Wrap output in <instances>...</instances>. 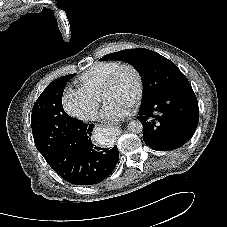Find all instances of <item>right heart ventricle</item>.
<instances>
[{
  "instance_id": "1",
  "label": "right heart ventricle",
  "mask_w": 227,
  "mask_h": 227,
  "mask_svg": "<svg viewBox=\"0 0 227 227\" xmlns=\"http://www.w3.org/2000/svg\"><path fill=\"white\" fill-rule=\"evenodd\" d=\"M120 64L119 61L115 60L96 62L76 78L75 84L78 89L95 96L101 91L104 82L110 74Z\"/></svg>"
}]
</instances>
